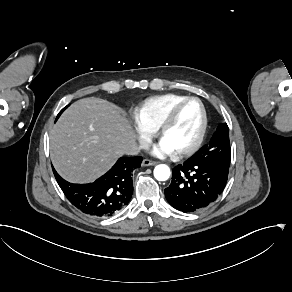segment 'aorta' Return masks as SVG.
Here are the masks:
<instances>
[{
  "instance_id": "1",
  "label": "aorta",
  "mask_w": 292,
  "mask_h": 292,
  "mask_svg": "<svg viewBox=\"0 0 292 292\" xmlns=\"http://www.w3.org/2000/svg\"><path fill=\"white\" fill-rule=\"evenodd\" d=\"M154 177L158 181H166L170 176V169L168 166L160 164L154 168Z\"/></svg>"
}]
</instances>
